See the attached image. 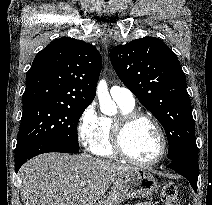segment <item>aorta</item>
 <instances>
[{
	"label": "aorta",
	"instance_id": "1",
	"mask_svg": "<svg viewBox=\"0 0 212 205\" xmlns=\"http://www.w3.org/2000/svg\"><path fill=\"white\" fill-rule=\"evenodd\" d=\"M96 95L99 100L100 110L103 113L113 114L116 111V106L110 97L105 80L102 79L98 82Z\"/></svg>",
	"mask_w": 212,
	"mask_h": 205
}]
</instances>
